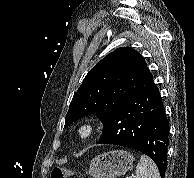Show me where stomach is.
<instances>
[{
  "label": "stomach",
  "instance_id": "1",
  "mask_svg": "<svg viewBox=\"0 0 194 178\" xmlns=\"http://www.w3.org/2000/svg\"><path fill=\"white\" fill-rule=\"evenodd\" d=\"M134 156L125 150H114L96 156L90 163L89 174L93 178H116L129 171Z\"/></svg>",
  "mask_w": 194,
  "mask_h": 178
}]
</instances>
